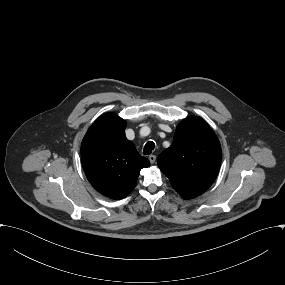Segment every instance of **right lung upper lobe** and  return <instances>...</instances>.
<instances>
[{
	"label": "right lung upper lobe",
	"instance_id": "1",
	"mask_svg": "<svg viewBox=\"0 0 285 285\" xmlns=\"http://www.w3.org/2000/svg\"><path fill=\"white\" fill-rule=\"evenodd\" d=\"M126 121L114 113L100 116L81 144L83 169L91 185L101 194L125 198L135 187L142 168L150 162L125 137Z\"/></svg>",
	"mask_w": 285,
	"mask_h": 285
}]
</instances>
